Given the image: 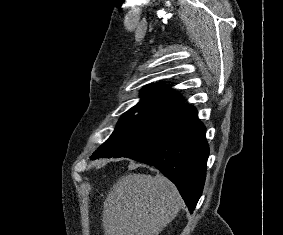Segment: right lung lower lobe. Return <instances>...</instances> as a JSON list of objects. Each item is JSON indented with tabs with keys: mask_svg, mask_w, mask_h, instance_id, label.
Wrapping results in <instances>:
<instances>
[{
	"mask_svg": "<svg viewBox=\"0 0 283 235\" xmlns=\"http://www.w3.org/2000/svg\"><path fill=\"white\" fill-rule=\"evenodd\" d=\"M206 129L190 105L186 116L166 135L126 157L155 166L178 188L192 213L202 194L209 155Z\"/></svg>",
	"mask_w": 283,
	"mask_h": 235,
	"instance_id": "1",
	"label": "right lung lower lobe"
}]
</instances>
